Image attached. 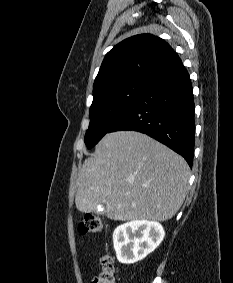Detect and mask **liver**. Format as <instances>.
Returning a JSON list of instances; mask_svg holds the SVG:
<instances>
[{
    "label": "liver",
    "instance_id": "obj_1",
    "mask_svg": "<svg viewBox=\"0 0 233 283\" xmlns=\"http://www.w3.org/2000/svg\"><path fill=\"white\" fill-rule=\"evenodd\" d=\"M190 169L182 156L136 131L106 134L78 174L80 212L105 204L112 220L166 221L180 209Z\"/></svg>",
    "mask_w": 233,
    "mask_h": 283
}]
</instances>
